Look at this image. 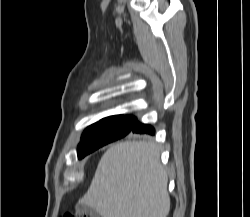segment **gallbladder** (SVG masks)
Masks as SVG:
<instances>
[{"instance_id":"bac80fb5","label":"gallbladder","mask_w":250,"mask_h":217,"mask_svg":"<svg viewBox=\"0 0 250 217\" xmlns=\"http://www.w3.org/2000/svg\"><path fill=\"white\" fill-rule=\"evenodd\" d=\"M76 208H77V211L82 213V214H84V213L88 214L90 217H100L99 213L96 210H94L86 205L78 204L76 206Z\"/></svg>"}]
</instances>
